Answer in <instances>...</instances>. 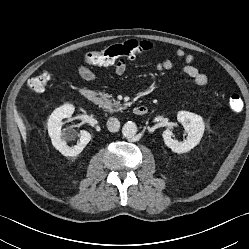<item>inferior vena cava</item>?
Returning a JSON list of instances; mask_svg holds the SVG:
<instances>
[{
  "label": "inferior vena cava",
  "instance_id": "obj_1",
  "mask_svg": "<svg viewBox=\"0 0 249 249\" xmlns=\"http://www.w3.org/2000/svg\"><path fill=\"white\" fill-rule=\"evenodd\" d=\"M107 128L110 132H117L120 128V122L117 118L110 117L107 120Z\"/></svg>",
  "mask_w": 249,
  "mask_h": 249
}]
</instances>
